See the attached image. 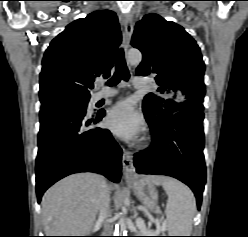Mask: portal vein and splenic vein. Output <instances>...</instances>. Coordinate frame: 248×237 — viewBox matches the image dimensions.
Returning a JSON list of instances; mask_svg holds the SVG:
<instances>
[{
	"mask_svg": "<svg viewBox=\"0 0 248 237\" xmlns=\"http://www.w3.org/2000/svg\"><path fill=\"white\" fill-rule=\"evenodd\" d=\"M155 223L157 225V228H161L159 219H156ZM136 225L140 228H146L144 221L141 219H136Z\"/></svg>",
	"mask_w": 248,
	"mask_h": 237,
	"instance_id": "18ae733b",
	"label": "portal vein and splenic vein"
}]
</instances>
